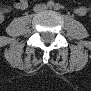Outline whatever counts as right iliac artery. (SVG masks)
Here are the masks:
<instances>
[{
	"label": "right iliac artery",
	"mask_w": 91,
	"mask_h": 91,
	"mask_svg": "<svg viewBox=\"0 0 91 91\" xmlns=\"http://www.w3.org/2000/svg\"><path fill=\"white\" fill-rule=\"evenodd\" d=\"M53 5H54V3H53L52 1H49V2L47 3V6H48V7H53Z\"/></svg>",
	"instance_id": "82829eb1"
}]
</instances>
